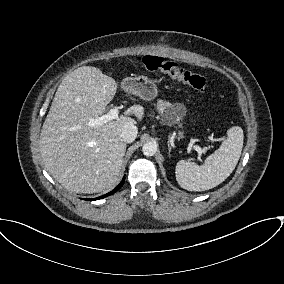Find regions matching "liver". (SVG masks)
<instances>
[{
	"label": "liver",
	"mask_w": 284,
	"mask_h": 284,
	"mask_svg": "<svg viewBox=\"0 0 284 284\" xmlns=\"http://www.w3.org/2000/svg\"><path fill=\"white\" fill-rule=\"evenodd\" d=\"M116 90L113 78L96 67L82 66L67 75L56 91L39 147L49 174L72 192H108L119 181L126 151L122 128L136 124L130 114L141 120L144 108L135 105L115 120L89 124L106 112Z\"/></svg>",
	"instance_id": "1"
}]
</instances>
